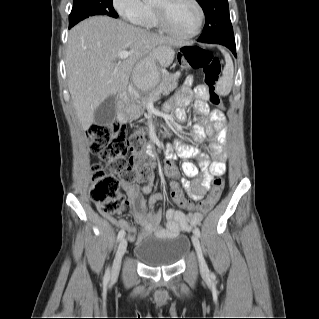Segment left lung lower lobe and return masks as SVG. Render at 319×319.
<instances>
[{
    "instance_id": "0a47b994",
    "label": "left lung lower lobe",
    "mask_w": 319,
    "mask_h": 319,
    "mask_svg": "<svg viewBox=\"0 0 319 319\" xmlns=\"http://www.w3.org/2000/svg\"><path fill=\"white\" fill-rule=\"evenodd\" d=\"M221 45L226 46L228 49H230L232 51V53L234 54V56H236V46H235V41L233 42H223L221 43Z\"/></svg>"
}]
</instances>
